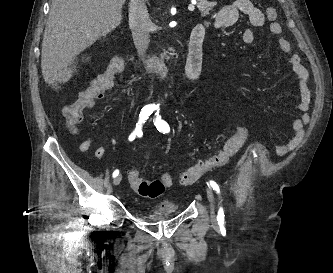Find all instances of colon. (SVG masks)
<instances>
[{
    "mask_svg": "<svg viewBox=\"0 0 333 273\" xmlns=\"http://www.w3.org/2000/svg\"><path fill=\"white\" fill-rule=\"evenodd\" d=\"M266 17L269 21H274L277 17L276 9L268 7L265 9ZM126 65L124 58H114L107 70L94 79L86 89L81 91L77 99L64 108V118L66 127L71 132H76L78 125L83 119L85 109L91 108L97 100L114 85L115 77L120 74ZM248 136L246 127H239L224 143L222 149L214 156L199 161L197 164L180 174L179 181L187 186L194 183L206 171L215 167L223 166L233 158L245 143ZM128 182L134 192L142 197L156 198L163 194L166 188L173 184L170 174L162 175L159 180L149 181L141 175L137 168L128 170Z\"/></svg>",
    "mask_w": 333,
    "mask_h": 273,
    "instance_id": "5ec220e1",
    "label": "colon"
}]
</instances>
